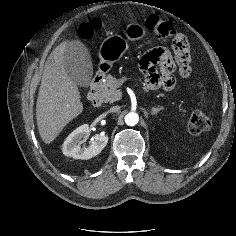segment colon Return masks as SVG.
<instances>
[{
  "label": "colon",
  "instance_id": "obj_1",
  "mask_svg": "<svg viewBox=\"0 0 236 236\" xmlns=\"http://www.w3.org/2000/svg\"><path fill=\"white\" fill-rule=\"evenodd\" d=\"M146 28L153 32L160 40L171 41L175 54L183 59L188 56L189 44L187 39L180 34L173 24L156 15H151L146 19ZM100 29V23L93 21L90 24H83L79 28V36L88 40L93 37L96 31ZM211 120L204 110L194 111L188 122V129L192 134H199L209 130Z\"/></svg>",
  "mask_w": 236,
  "mask_h": 236
}]
</instances>
